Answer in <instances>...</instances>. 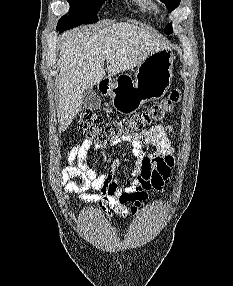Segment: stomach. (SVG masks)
I'll use <instances>...</instances> for the list:
<instances>
[{"mask_svg":"<svg viewBox=\"0 0 233 286\" xmlns=\"http://www.w3.org/2000/svg\"><path fill=\"white\" fill-rule=\"evenodd\" d=\"M174 59L171 49H161L138 65L134 82L122 84L110 80L106 93L116 110L131 114L143 103L162 98L171 85Z\"/></svg>","mask_w":233,"mask_h":286,"instance_id":"1","label":"stomach"}]
</instances>
